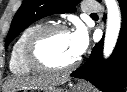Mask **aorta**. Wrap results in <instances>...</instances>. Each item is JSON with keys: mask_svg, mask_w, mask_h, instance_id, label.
<instances>
[{"mask_svg": "<svg viewBox=\"0 0 127 92\" xmlns=\"http://www.w3.org/2000/svg\"><path fill=\"white\" fill-rule=\"evenodd\" d=\"M107 7V26L104 40V57L111 55L116 45L120 28H121V13L116 0H105Z\"/></svg>", "mask_w": 127, "mask_h": 92, "instance_id": "aorta-1", "label": "aorta"}]
</instances>
